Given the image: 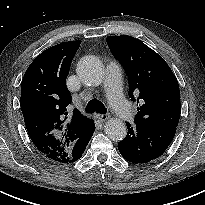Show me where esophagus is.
Returning <instances> with one entry per match:
<instances>
[{
    "mask_svg": "<svg viewBox=\"0 0 205 205\" xmlns=\"http://www.w3.org/2000/svg\"><path fill=\"white\" fill-rule=\"evenodd\" d=\"M97 118L100 122H105L106 120L109 119V115L98 114Z\"/></svg>",
    "mask_w": 205,
    "mask_h": 205,
    "instance_id": "1",
    "label": "esophagus"
}]
</instances>
